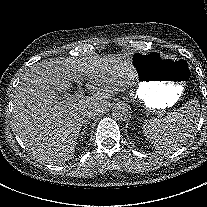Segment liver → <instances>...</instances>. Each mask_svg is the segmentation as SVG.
<instances>
[{"label": "liver", "mask_w": 207, "mask_h": 207, "mask_svg": "<svg viewBox=\"0 0 207 207\" xmlns=\"http://www.w3.org/2000/svg\"><path fill=\"white\" fill-rule=\"evenodd\" d=\"M81 75L96 81L94 68L67 59L44 60L31 66L22 77L13 100L11 127L29 149L45 147L67 155L74 152L83 118L88 111L95 113L92 105L96 97L85 98L83 94L68 92L72 82Z\"/></svg>", "instance_id": "6515ba94"}]
</instances>
